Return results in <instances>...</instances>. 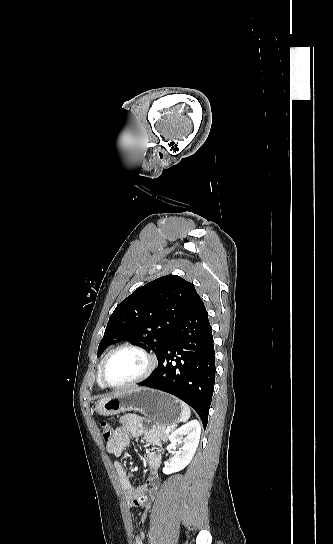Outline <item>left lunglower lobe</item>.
I'll return each instance as SVG.
<instances>
[{
  "mask_svg": "<svg viewBox=\"0 0 333 544\" xmlns=\"http://www.w3.org/2000/svg\"><path fill=\"white\" fill-rule=\"evenodd\" d=\"M215 381V351L208 314L201 298L190 308L158 357V368L139 383L170 393L208 421Z\"/></svg>",
  "mask_w": 333,
  "mask_h": 544,
  "instance_id": "obj_1",
  "label": "left lung lower lobe"
}]
</instances>
